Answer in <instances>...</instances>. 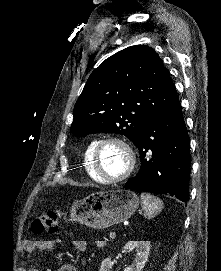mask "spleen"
Listing matches in <instances>:
<instances>
[{"label": "spleen", "mask_w": 221, "mask_h": 271, "mask_svg": "<svg viewBox=\"0 0 221 271\" xmlns=\"http://www.w3.org/2000/svg\"><path fill=\"white\" fill-rule=\"evenodd\" d=\"M141 205L144 209V217L151 219V217H155L157 213H160L163 201L159 197H155V195H150V193H141Z\"/></svg>", "instance_id": "3e777b00"}]
</instances>
